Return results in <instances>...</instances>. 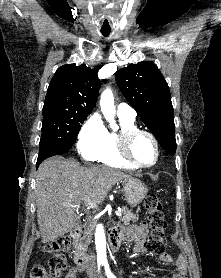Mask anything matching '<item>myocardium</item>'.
Listing matches in <instances>:
<instances>
[{"label":"myocardium","instance_id":"f54148a6","mask_svg":"<svg viewBox=\"0 0 221 278\" xmlns=\"http://www.w3.org/2000/svg\"><path fill=\"white\" fill-rule=\"evenodd\" d=\"M141 134L146 135L151 139V141L155 147V150H156L155 161L150 165H143V164L136 162L132 158L131 153H130L131 146H132L134 139L138 135H141ZM117 149H118V153H119L120 157L122 158V160L124 162H126L129 165L133 166L134 168H138V169L152 168L158 163V161L160 159V145L158 143V140L156 139L154 134H152L151 132L144 130V129L134 128V129L122 131L118 135Z\"/></svg>","mask_w":221,"mask_h":278}]
</instances>
